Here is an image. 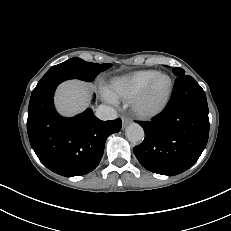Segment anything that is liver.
I'll use <instances>...</instances> for the list:
<instances>
[{"label": "liver", "instance_id": "obj_1", "mask_svg": "<svg viewBox=\"0 0 231 231\" xmlns=\"http://www.w3.org/2000/svg\"><path fill=\"white\" fill-rule=\"evenodd\" d=\"M91 91L79 80L67 81L59 86L55 95V105L60 114L74 116L88 106Z\"/></svg>", "mask_w": 231, "mask_h": 231}]
</instances>
